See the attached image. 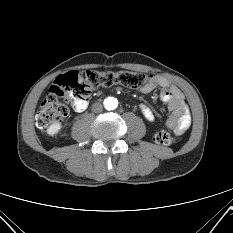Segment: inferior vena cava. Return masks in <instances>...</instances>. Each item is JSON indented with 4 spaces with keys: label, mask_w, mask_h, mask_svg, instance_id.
<instances>
[{
    "label": "inferior vena cava",
    "mask_w": 233,
    "mask_h": 233,
    "mask_svg": "<svg viewBox=\"0 0 233 233\" xmlns=\"http://www.w3.org/2000/svg\"><path fill=\"white\" fill-rule=\"evenodd\" d=\"M102 110H103V106L101 103L96 102L92 105V111L94 113H100L102 112Z\"/></svg>",
    "instance_id": "obj_1"
}]
</instances>
